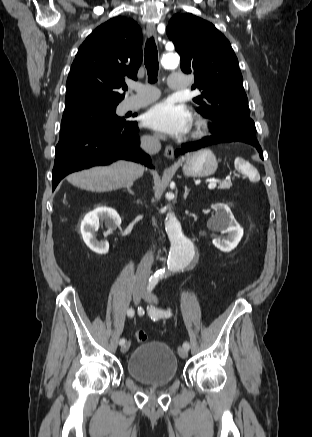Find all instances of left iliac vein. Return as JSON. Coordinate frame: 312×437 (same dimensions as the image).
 <instances>
[{
    "mask_svg": "<svg viewBox=\"0 0 312 437\" xmlns=\"http://www.w3.org/2000/svg\"><path fill=\"white\" fill-rule=\"evenodd\" d=\"M143 297L149 303H157V297L149 291H145ZM178 354L181 358H187L188 349L184 347H179Z\"/></svg>",
    "mask_w": 312,
    "mask_h": 437,
    "instance_id": "obj_1",
    "label": "left iliac vein"
}]
</instances>
